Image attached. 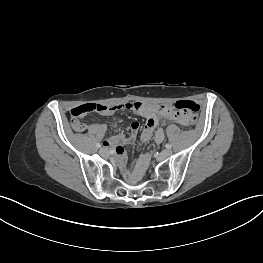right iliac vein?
Instances as JSON below:
<instances>
[{"mask_svg": "<svg viewBox=\"0 0 263 263\" xmlns=\"http://www.w3.org/2000/svg\"><path fill=\"white\" fill-rule=\"evenodd\" d=\"M100 154H101L102 156H106V155H108V151H107V149H105V148H101V149H100Z\"/></svg>", "mask_w": 263, "mask_h": 263, "instance_id": "1", "label": "right iliac vein"}]
</instances>
